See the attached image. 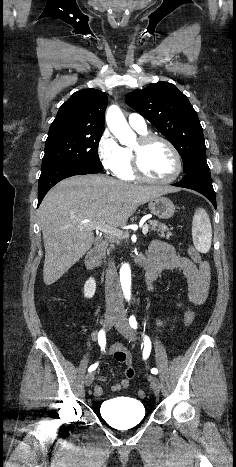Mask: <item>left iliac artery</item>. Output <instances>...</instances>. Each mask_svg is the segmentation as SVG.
Listing matches in <instances>:
<instances>
[{
  "instance_id": "obj_1",
  "label": "left iliac artery",
  "mask_w": 236,
  "mask_h": 467,
  "mask_svg": "<svg viewBox=\"0 0 236 467\" xmlns=\"http://www.w3.org/2000/svg\"><path fill=\"white\" fill-rule=\"evenodd\" d=\"M129 324L133 329L138 328V323L136 321V318L134 315L130 316L129 318ZM151 352V341L148 336H144V350H143V358L147 359L150 355ZM152 374H157L158 370L156 368L151 369Z\"/></svg>"
}]
</instances>
